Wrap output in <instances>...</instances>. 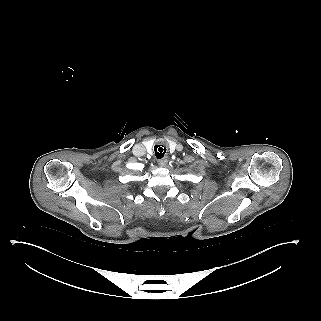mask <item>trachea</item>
<instances>
[{
  "label": "trachea",
  "instance_id": "obj_1",
  "mask_svg": "<svg viewBox=\"0 0 321 321\" xmlns=\"http://www.w3.org/2000/svg\"><path fill=\"white\" fill-rule=\"evenodd\" d=\"M151 152L154 157L161 158L166 155L167 149L164 144L157 143L152 146Z\"/></svg>",
  "mask_w": 321,
  "mask_h": 321
}]
</instances>
